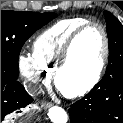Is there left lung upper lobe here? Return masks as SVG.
Returning a JSON list of instances; mask_svg holds the SVG:
<instances>
[{
    "instance_id": "1",
    "label": "left lung upper lobe",
    "mask_w": 123,
    "mask_h": 123,
    "mask_svg": "<svg viewBox=\"0 0 123 123\" xmlns=\"http://www.w3.org/2000/svg\"><path fill=\"white\" fill-rule=\"evenodd\" d=\"M109 38V59L104 77L98 85L111 86L123 79V25L108 11H104Z\"/></svg>"
}]
</instances>
